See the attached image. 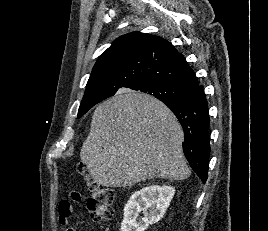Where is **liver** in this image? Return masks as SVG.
I'll return each mask as SVG.
<instances>
[{"instance_id": "liver-1", "label": "liver", "mask_w": 268, "mask_h": 231, "mask_svg": "<svg viewBox=\"0 0 268 231\" xmlns=\"http://www.w3.org/2000/svg\"><path fill=\"white\" fill-rule=\"evenodd\" d=\"M183 130L154 97L131 90L99 104L80 158L97 185L127 187L147 179L184 180L190 175Z\"/></svg>"}]
</instances>
